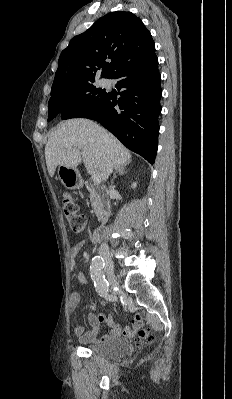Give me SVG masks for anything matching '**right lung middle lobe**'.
I'll return each mask as SVG.
<instances>
[{"instance_id": "dd1d6c3e", "label": "right lung middle lobe", "mask_w": 232, "mask_h": 399, "mask_svg": "<svg viewBox=\"0 0 232 399\" xmlns=\"http://www.w3.org/2000/svg\"><path fill=\"white\" fill-rule=\"evenodd\" d=\"M93 82L81 84L65 93L51 95L48 103V121L60 112L65 119H69L79 112L96 108L107 93L103 89L96 88Z\"/></svg>"}]
</instances>
